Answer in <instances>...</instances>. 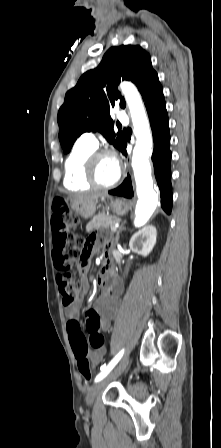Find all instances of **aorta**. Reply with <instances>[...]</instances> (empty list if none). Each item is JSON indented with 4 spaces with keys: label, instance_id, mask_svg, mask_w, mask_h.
I'll use <instances>...</instances> for the list:
<instances>
[{
    "label": "aorta",
    "instance_id": "1",
    "mask_svg": "<svg viewBox=\"0 0 221 448\" xmlns=\"http://www.w3.org/2000/svg\"><path fill=\"white\" fill-rule=\"evenodd\" d=\"M128 105L136 144L132 155V168L136 182L138 201L135 208V226L144 225L158 204V195L153 189L149 156L152 153V134L142 99L135 86L129 82L121 84Z\"/></svg>",
    "mask_w": 221,
    "mask_h": 448
}]
</instances>
